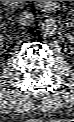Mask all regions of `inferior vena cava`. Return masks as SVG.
<instances>
[{
    "label": "inferior vena cava",
    "mask_w": 74,
    "mask_h": 122,
    "mask_svg": "<svg viewBox=\"0 0 74 122\" xmlns=\"http://www.w3.org/2000/svg\"><path fill=\"white\" fill-rule=\"evenodd\" d=\"M19 21H20L21 25L29 26V25L33 24V22H34V15L32 12L24 11L19 16Z\"/></svg>",
    "instance_id": "602c4592"
}]
</instances>
